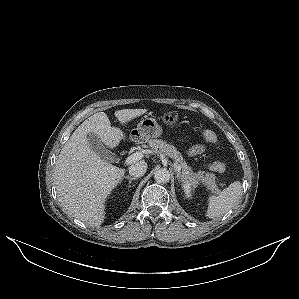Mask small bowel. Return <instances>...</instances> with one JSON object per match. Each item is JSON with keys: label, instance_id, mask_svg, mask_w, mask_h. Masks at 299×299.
I'll use <instances>...</instances> for the list:
<instances>
[{"label": "small bowel", "instance_id": "small-bowel-1", "mask_svg": "<svg viewBox=\"0 0 299 299\" xmlns=\"http://www.w3.org/2000/svg\"><path fill=\"white\" fill-rule=\"evenodd\" d=\"M205 151V146L198 144V145H194L193 147H191L189 149V154L194 156V155H198L201 154Z\"/></svg>", "mask_w": 299, "mask_h": 299}]
</instances>
